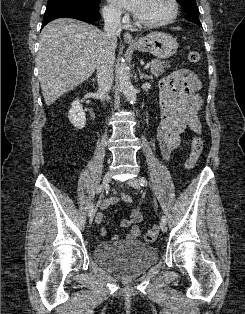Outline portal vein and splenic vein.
<instances>
[{"label": "portal vein and splenic vein", "mask_w": 245, "mask_h": 314, "mask_svg": "<svg viewBox=\"0 0 245 314\" xmlns=\"http://www.w3.org/2000/svg\"><path fill=\"white\" fill-rule=\"evenodd\" d=\"M150 67V63H147L145 66H144V69H148Z\"/></svg>", "instance_id": "18ae733b"}]
</instances>
